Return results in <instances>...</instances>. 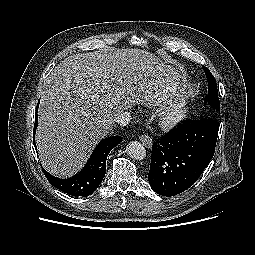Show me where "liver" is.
I'll list each match as a JSON object with an SVG mask.
<instances>
[{"label":"liver","instance_id":"6515ba94","mask_svg":"<svg viewBox=\"0 0 255 255\" xmlns=\"http://www.w3.org/2000/svg\"><path fill=\"white\" fill-rule=\"evenodd\" d=\"M181 69L138 49H110L64 59L46 77L36 133L43 167L53 175L77 173L112 129L114 118L136 103L157 106L183 93Z\"/></svg>","mask_w":255,"mask_h":255}]
</instances>
